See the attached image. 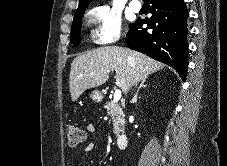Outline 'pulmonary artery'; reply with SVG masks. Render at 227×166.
Returning <instances> with one entry per match:
<instances>
[{"label": "pulmonary artery", "mask_w": 227, "mask_h": 166, "mask_svg": "<svg viewBox=\"0 0 227 166\" xmlns=\"http://www.w3.org/2000/svg\"><path fill=\"white\" fill-rule=\"evenodd\" d=\"M141 3L138 0H133L130 3V8L131 10H133L134 12H138L141 10Z\"/></svg>", "instance_id": "pulmonary-artery-1"}]
</instances>
